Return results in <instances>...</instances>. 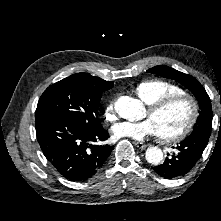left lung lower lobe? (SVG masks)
<instances>
[{"label": "left lung lower lobe", "mask_w": 221, "mask_h": 221, "mask_svg": "<svg viewBox=\"0 0 221 221\" xmlns=\"http://www.w3.org/2000/svg\"><path fill=\"white\" fill-rule=\"evenodd\" d=\"M209 136V131L192 133L177 145L176 151L169 158H166L162 165L153 167V170L166 179L185 176L202 156Z\"/></svg>", "instance_id": "0a47b994"}]
</instances>
